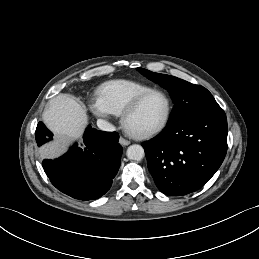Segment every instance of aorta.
Masks as SVG:
<instances>
[{"label":"aorta","instance_id":"762f6f07","mask_svg":"<svg viewBox=\"0 0 259 259\" xmlns=\"http://www.w3.org/2000/svg\"><path fill=\"white\" fill-rule=\"evenodd\" d=\"M127 157L130 160L140 161L143 159L145 152L141 145L133 144L127 149Z\"/></svg>","mask_w":259,"mask_h":259}]
</instances>
